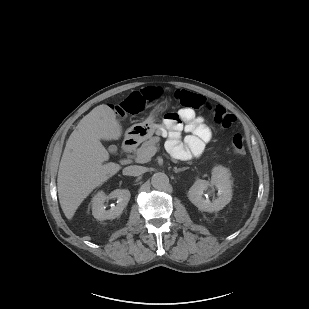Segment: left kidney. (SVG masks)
<instances>
[{"label":"left kidney","mask_w":309,"mask_h":309,"mask_svg":"<svg viewBox=\"0 0 309 309\" xmlns=\"http://www.w3.org/2000/svg\"><path fill=\"white\" fill-rule=\"evenodd\" d=\"M230 171L223 166L212 169L211 182L198 179L189 189V200L201 211L216 212L223 209L232 199V181ZM218 190V197L212 201L204 198L209 188ZM209 193V192H208Z\"/></svg>","instance_id":"5707ae66"}]
</instances>
